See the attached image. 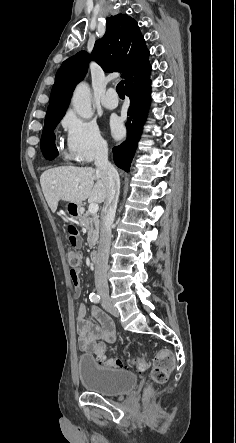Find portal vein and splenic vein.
<instances>
[{"label": "portal vein and splenic vein", "mask_w": 236, "mask_h": 443, "mask_svg": "<svg viewBox=\"0 0 236 443\" xmlns=\"http://www.w3.org/2000/svg\"><path fill=\"white\" fill-rule=\"evenodd\" d=\"M98 209H99V206H98L97 203H91V204L89 205L88 211H89L91 214H96V213L98 212Z\"/></svg>", "instance_id": "portal-vein-and-splenic-vein-1"}]
</instances>
